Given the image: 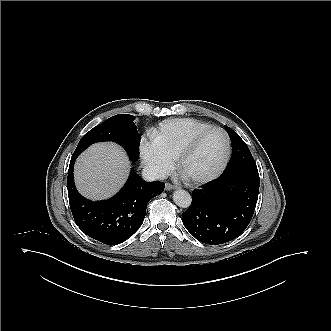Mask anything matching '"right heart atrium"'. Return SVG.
<instances>
[{"label":"right heart atrium","instance_id":"1","mask_svg":"<svg viewBox=\"0 0 331 331\" xmlns=\"http://www.w3.org/2000/svg\"><path fill=\"white\" fill-rule=\"evenodd\" d=\"M140 155L143 163L155 176L167 175L173 168V156L146 139L141 141Z\"/></svg>","mask_w":331,"mask_h":331}]
</instances>
